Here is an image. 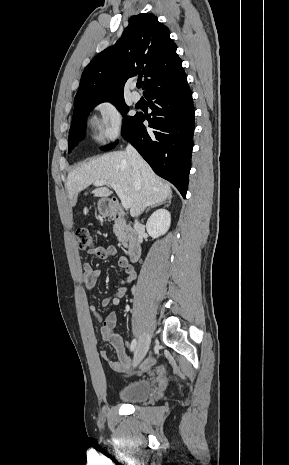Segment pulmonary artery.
<instances>
[{
  "label": "pulmonary artery",
  "instance_id": "obj_1",
  "mask_svg": "<svg viewBox=\"0 0 289 465\" xmlns=\"http://www.w3.org/2000/svg\"><path fill=\"white\" fill-rule=\"evenodd\" d=\"M135 86H132V88L134 89ZM131 98L134 102H138L140 100V94L133 90L132 93H131Z\"/></svg>",
  "mask_w": 289,
  "mask_h": 465
}]
</instances>
